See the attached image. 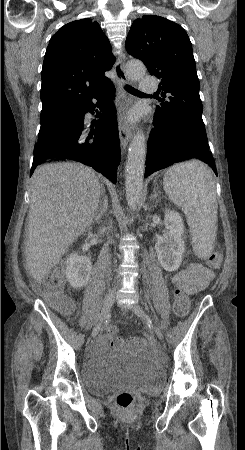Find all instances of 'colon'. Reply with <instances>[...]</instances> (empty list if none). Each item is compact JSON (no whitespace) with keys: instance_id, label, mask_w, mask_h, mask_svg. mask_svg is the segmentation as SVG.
<instances>
[{"instance_id":"colon-1","label":"colon","mask_w":245,"mask_h":450,"mask_svg":"<svg viewBox=\"0 0 245 450\" xmlns=\"http://www.w3.org/2000/svg\"><path fill=\"white\" fill-rule=\"evenodd\" d=\"M221 257L218 252H212L207 258V264L211 268H218ZM39 294L46 297L49 304L62 315H69L74 309L73 301L63 294V280L61 275L48 274L43 281L37 285ZM173 307L176 315L185 317L190 308V299L185 291L177 287L173 291ZM111 343L118 348H123L130 352L141 350L145 343L142 339H125L116 335V329L111 327L108 330ZM116 404L120 412L125 413L133 404V396L130 392H120L116 397Z\"/></svg>"}]
</instances>
